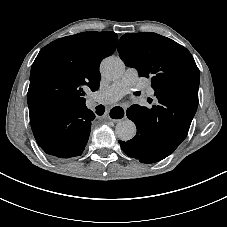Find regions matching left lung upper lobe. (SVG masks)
Masks as SVG:
<instances>
[{
	"label": "left lung upper lobe",
	"mask_w": 227,
	"mask_h": 227,
	"mask_svg": "<svg viewBox=\"0 0 227 227\" xmlns=\"http://www.w3.org/2000/svg\"><path fill=\"white\" fill-rule=\"evenodd\" d=\"M118 52L125 64L151 78L159 104L189 110L198 106L200 72L190 52L173 40L156 33H126Z\"/></svg>",
	"instance_id": "left-lung-upper-lobe-1"
}]
</instances>
